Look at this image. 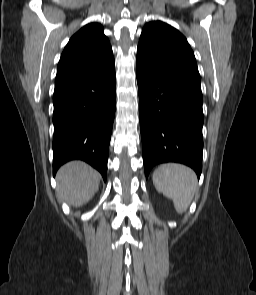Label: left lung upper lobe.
Wrapping results in <instances>:
<instances>
[{"label":"left lung upper lobe","mask_w":256,"mask_h":295,"mask_svg":"<svg viewBox=\"0 0 256 295\" xmlns=\"http://www.w3.org/2000/svg\"><path fill=\"white\" fill-rule=\"evenodd\" d=\"M137 65L164 82L202 95L194 53L186 38L166 23L153 21L144 27Z\"/></svg>","instance_id":"5c2ea615"}]
</instances>
